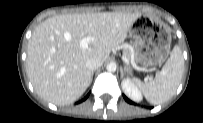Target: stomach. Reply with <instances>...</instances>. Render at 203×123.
I'll use <instances>...</instances> for the list:
<instances>
[{
	"mask_svg": "<svg viewBox=\"0 0 203 123\" xmlns=\"http://www.w3.org/2000/svg\"><path fill=\"white\" fill-rule=\"evenodd\" d=\"M129 34L136 51V60L143 66L162 64L169 56L171 34L153 19L136 22Z\"/></svg>",
	"mask_w": 203,
	"mask_h": 123,
	"instance_id": "0dacf381",
	"label": "stomach"
}]
</instances>
